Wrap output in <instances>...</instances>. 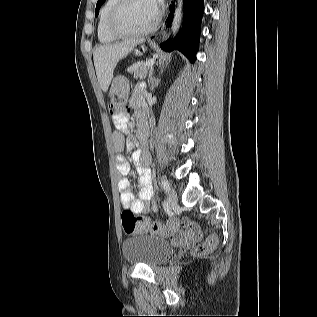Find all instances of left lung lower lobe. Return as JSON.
<instances>
[{
    "label": "left lung lower lobe",
    "instance_id": "left-lung-lower-lobe-1",
    "mask_svg": "<svg viewBox=\"0 0 317 317\" xmlns=\"http://www.w3.org/2000/svg\"><path fill=\"white\" fill-rule=\"evenodd\" d=\"M184 7L185 15L181 32L173 42L168 40L160 46L168 51L177 49L184 53L191 62H194L198 50L201 19L204 11L203 0H185ZM169 8L171 11L167 19L168 26L171 25L174 12L173 6Z\"/></svg>",
    "mask_w": 317,
    "mask_h": 317
}]
</instances>
